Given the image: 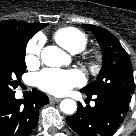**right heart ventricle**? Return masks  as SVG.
<instances>
[{"mask_svg":"<svg viewBox=\"0 0 136 136\" xmlns=\"http://www.w3.org/2000/svg\"><path fill=\"white\" fill-rule=\"evenodd\" d=\"M55 41L71 53H78L85 49L87 35L75 27H64L54 33Z\"/></svg>","mask_w":136,"mask_h":136,"instance_id":"e07e8e85","label":"right heart ventricle"}]
</instances>
